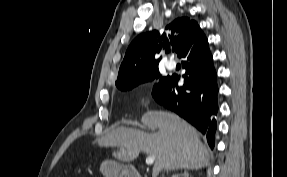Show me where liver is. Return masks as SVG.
Listing matches in <instances>:
<instances>
[{
	"instance_id": "1",
	"label": "liver",
	"mask_w": 287,
	"mask_h": 177,
	"mask_svg": "<svg viewBox=\"0 0 287 177\" xmlns=\"http://www.w3.org/2000/svg\"><path fill=\"white\" fill-rule=\"evenodd\" d=\"M141 122L142 128L152 131L118 127L96 139L104 147H120L113 157L123 162H131L141 152L155 156L153 177L162 170L192 169L198 170L207 166L208 149L199 139V134L190 124L179 116L164 111H149Z\"/></svg>"
}]
</instances>
